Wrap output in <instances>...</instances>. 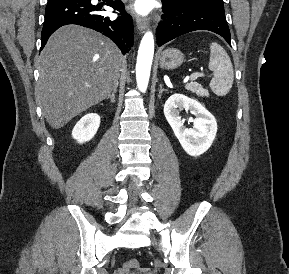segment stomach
I'll list each match as a JSON object with an SVG mask.
<instances>
[{"instance_id": "stomach-1", "label": "stomach", "mask_w": 289, "mask_h": 274, "mask_svg": "<svg viewBox=\"0 0 289 274\" xmlns=\"http://www.w3.org/2000/svg\"><path fill=\"white\" fill-rule=\"evenodd\" d=\"M184 61L183 53L176 48L165 49L159 57V63L163 69H176L182 65Z\"/></svg>"}]
</instances>
